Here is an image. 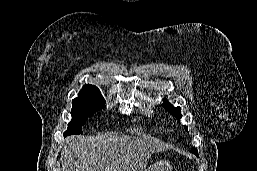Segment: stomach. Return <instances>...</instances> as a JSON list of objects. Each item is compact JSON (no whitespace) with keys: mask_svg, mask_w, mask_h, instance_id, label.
Wrapping results in <instances>:
<instances>
[{"mask_svg":"<svg viewBox=\"0 0 257 171\" xmlns=\"http://www.w3.org/2000/svg\"><path fill=\"white\" fill-rule=\"evenodd\" d=\"M147 171H172L171 166L168 162H156L155 164L151 165Z\"/></svg>","mask_w":257,"mask_h":171,"instance_id":"obj_1","label":"stomach"}]
</instances>
